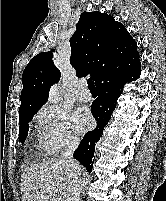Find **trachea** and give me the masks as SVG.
Masks as SVG:
<instances>
[{"label":"trachea","instance_id":"3493384b","mask_svg":"<svg viewBox=\"0 0 166 201\" xmlns=\"http://www.w3.org/2000/svg\"><path fill=\"white\" fill-rule=\"evenodd\" d=\"M87 83H88V87H89L90 90H96L95 85H94V82L92 81L91 78H89V79L87 80Z\"/></svg>","mask_w":166,"mask_h":201}]
</instances>
